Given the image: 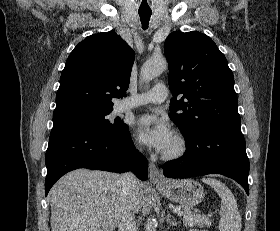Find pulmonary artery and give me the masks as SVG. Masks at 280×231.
Listing matches in <instances>:
<instances>
[{"instance_id":"1","label":"pulmonary artery","mask_w":280,"mask_h":231,"mask_svg":"<svg viewBox=\"0 0 280 231\" xmlns=\"http://www.w3.org/2000/svg\"><path fill=\"white\" fill-rule=\"evenodd\" d=\"M168 96V91L165 85L158 84L154 86L151 90L137 95L133 98H128L124 101L123 107L125 109H131L140 105H145L149 103L160 104L163 103Z\"/></svg>"}]
</instances>
